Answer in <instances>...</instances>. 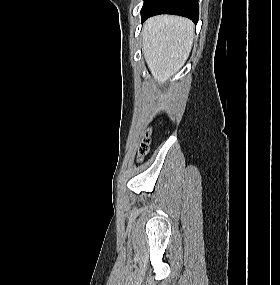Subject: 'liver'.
<instances>
[{"mask_svg": "<svg viewBox=\"0 0 280 285\" xmlns=\"http://www.w3.org/2000/svg\"><path fill=\"white\" fill-rule=\"evenodd\" d=\"M193 38L194 25L186 18L159 15L145 22L143 54L158 84L165 83L181 69L191 51Z\"/></svg>", "mask_w": 280, "mask_h": 285, "instance_id": "6515ba94", "label": "liver"}]
</instances>
